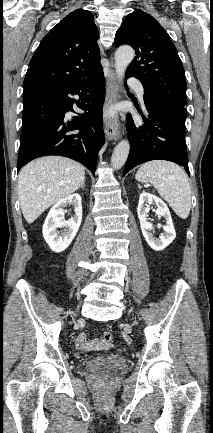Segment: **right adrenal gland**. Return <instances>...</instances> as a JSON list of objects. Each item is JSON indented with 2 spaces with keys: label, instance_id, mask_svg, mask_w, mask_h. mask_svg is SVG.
Listing matches in <instances>:
<instances>
[{
  "label": "right adrenal gland",
  "instance_id": "obj_1",
  "mask_svg": "<svg viewBox=\"0 0 213 433\" xmlns=\"http://www.w3.org/2000/svg\"><path fill=\"white\" fill-rule=\"evenodd\" d=\"M85 184L82 183V185L80 186L81 189H84Z\"/></svg>",
  "mask_w": 213,
  "mask_h": 433
}]
</instances>
